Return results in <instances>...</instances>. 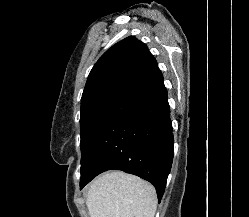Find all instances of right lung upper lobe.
<instances>
[{"label": "right lung upper lobe", "mask_w": 249, "mask_h": 217, "mask_svg": "<svg viewBox=\"0 0 249 217\" xmlns=\"http://www.w3.org/2000/svg\"><path fill=\"white\" fill-rule=\"evenodd\" d=\"M157 66L147 46L129 36L110 47L92 68L81 103L105 92H126Z\"/></svg>", "instance_id": "cb5924a9"}]
</instances>
